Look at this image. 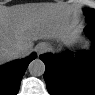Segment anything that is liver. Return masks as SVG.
Instances as JSON below:
<instances>
[{
	"mask_svg": "<svg viewBox=\"0 0 95 95\" xmlns=\"http://www.w3.org/2000/svg\"><path fill=\"white\" fill-rule=\"evenodd\" d=\"M75 10L53 3H30L1 7L0 10V63L16 59L12 54L20 45L28 55L34 41L61 40L63 35L77 28Z\"/></svg>",
	"mask_w": 95,
	"mask_h": 95,
	"instance_id": "liver-1",
	"label": "liver"
}]
</instances>
